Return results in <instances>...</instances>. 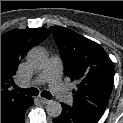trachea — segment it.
Returning a JSON list of instances; mask_svg holds the SVG:
<instances>
[{
  "label": "trachea",
  "instance_id": "obj_1",
  "mask_svg": "<svg viewBox=\"0 0 123 123\" xmlns=\"http://www.w3.org/2000/svg\"><path fill=\"white\" fill-rule=\"evenodd\" d=\"M15 90L24 94V95H28V96H36L39 94L38 89L36 88H27V89H22L18 86H15ZM41 96L47 99H51L52 98V94L49 91H42L41 92Z\"/></svg>",
  "mask_w": 123,
  "mask_h": 123
}]
</instances>
